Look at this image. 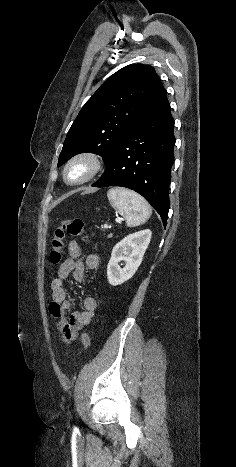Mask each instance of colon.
Listing matches in <instances>:
<instances>
[{"mask_svg": "<svg viewBox=\"0 0 236 467\" xmlns=\"http://www.w3.org/2000/svg\"><path fill=\"white\" fill-rule=\"evenodd\" d=\"M67 236L81 237L84 241H88L89 236L82 219H65L54 229L50 251V261L53 265H57L63 260L64 241ZM81 341L85 349L90 346V338L86 332L81 334Z\"/></svg>", "mask_w": 236, "mask_h": 467, "instance_id": "obj_1", "label": "colon"}]
</instances>
